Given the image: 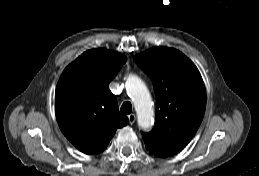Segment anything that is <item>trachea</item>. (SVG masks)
I'll list each match as a JSON object with an SVG mask.
<instances>
[{
	"label": "trachea",
	"mask_w": 259,
	"mask_h": 176,
	"mask_svg": "<svg viewBox=\"0 0 259 176\" xmlns=\"http://www.w3.org/2000/svg\"><path fill=\"white\" fill-rule=\"evenodd\" d=\"M120 111L123 113V114H130L131 111H132V105L130 102H124L121 106V109Z\"/></svg>",
	"instance_id": "obj_1"
}]
</instances>
